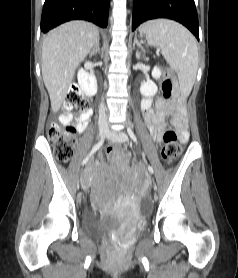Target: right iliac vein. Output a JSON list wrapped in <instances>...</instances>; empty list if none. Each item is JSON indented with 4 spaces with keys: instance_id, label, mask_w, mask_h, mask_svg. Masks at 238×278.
Returning a JSON list of instances; mask_svg holds the SVG:
<instances>
[{
    "instance_id": "obj_1",
    "label": "right iliac vein",
    "mask_w": 238,
    "mask_h": 278,
    "mask_svg": "<svg viewBox=\"0 0 238 278\" xmlns=\"http://www.w3.org/2000/svg\"><path fill=\"white\" fill-rule=\"evenodd\" d=\"M108 135V127L102 125L99 127V138L103 140ZM76 189H80V181L76 179Z\"/></svg>"
}]
</instances>
